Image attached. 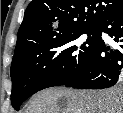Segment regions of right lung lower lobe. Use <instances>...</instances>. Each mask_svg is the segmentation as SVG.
<instances>
[{
	"label": "right lung lower lobe",
	"instance_id": "obj_1",
	"mask_svg": "<svg viewBox=\"0 0 123 113\" xmlns=\"http://www.w3.org/2000/svg\"><path fill=\"white\" fill-rule=\"evenodd\" d=\"M117 43L114 47L99 43L84 68L67 87L103 89L115 85L123 68V3L108 13L97 25Z\"/></svg>",
	"mask_w": 123,
	"mask_h": 113
}]
</instances>
